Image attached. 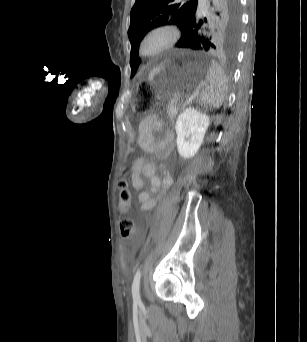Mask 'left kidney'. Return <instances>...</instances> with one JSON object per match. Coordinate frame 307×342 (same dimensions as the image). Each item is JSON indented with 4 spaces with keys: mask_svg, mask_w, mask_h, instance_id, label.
<instances>
[{
    "mask_svg": "<svg viewBox=\"0 0 307 342\" xmlns=\"http://www.w3.org/2000/svg\"><path fill=\"white\" fill-rule=\"evenodd\" d=\"M208 126L209 116L194 110V108H186L178 116L175 126L176 144L178 154L183 160L194 158L195 154H197Z\"/></svg>",
    "mask_w": 307,
    "mask_h": 342,
    "instance_id": "left-kidney-1",
    "label": "left kidney"
}]
</instances>
